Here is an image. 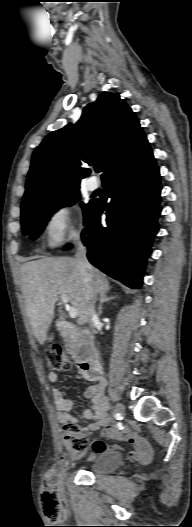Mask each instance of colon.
Here are the masks:
<instances>
[{"mask_svg": "<svg viewBox=\"0 0 192 527\" xmlns=\"http://www.w3.org/2000/svg\"><path fill=\"white\" fill-rule=\"evenodd\" d=\"M47 362L49 368L56 371H67L72 366L70 359L59 346H52L48 349ZM62 443L74 458L84 456L90 446L85 432L76 422H68L64 425ZM45 484L47 487L50 485L48 481ZM43 503L46 509L57 506V499L52 490L48 489L44 492Z\"/></svg>", "mask_w": 192, "mask_h": 527, "instance_id": "5ec220e1", "label": "colon"}]
</instances>
